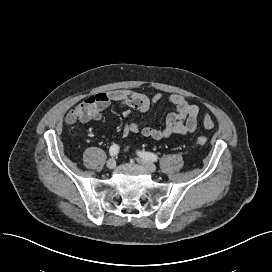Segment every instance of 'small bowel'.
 I'll return each instance as SVG.
<instances>
[{
    "label": "small bowel",
    "mask_w": 272,
    "mask_h": 272,
    "mask_svg": "<svg viewBox=\"0 0 272 272\" xmlns=\"http://www.w3.org/2000/svg\"><path fill=\"white\" fill-rule=\"evenodd\" d=\"M163 99L161 93L149 97L131 89L112 90L97 93L85 97L78 105L71 109L67 116L68 124L87 122L101 119L102 111L111 103L116 102L124 106L123 116L130 115L131 109L140 114L149 112L157 103ZM167 101L175 107V111L168 114L162 126L158 128L141 127L137 122L127 123L122 131L124 137L140 134L146 138L162 140L171 135H187L193 133L197 128L199 107L190 103L180 94H171ZM203 126L206 129L213 127V121L209 115L203 116Z\"/></svg>",
    "instance_id": "obj_1"
}]
</instances>
